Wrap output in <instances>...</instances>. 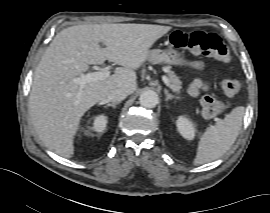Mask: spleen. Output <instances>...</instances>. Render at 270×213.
<instances>
[{
    "mask_svg": "<svg viewBox=\"0 0 270 213\" xmlns=\"http://www.w3.org/2000/svg\"><path fill=\"white\" fill-rule=\"evenodd\" d=\"M245 114L244 107H236L200 137L194 165L214 161L225 154L236 141Z\"/></svg>",
    "mask_w": 270,
    "mask_h": 213,
    "instance_id": "obj_1",
    "label": "spleen"
}]
</instances>
